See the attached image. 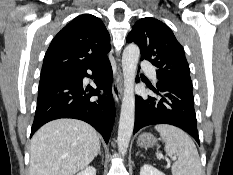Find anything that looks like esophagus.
Instances as JSON below:
<instances>
[{
    "label": "esophagus",
    "mask_w": 233,
    "mask_h": 175,
    "mask_svg": "<svg viewBox=\"0 0 233 175\" xmlns=\"http://www.w3.org/2000/svg\"><path fill=\"white\" fill-rule=\"evenodd\" d=\"M112 93H113V97L115 101L119 102L122 98V93H123V83H122V76L120 72L115 76L113 80Z\"/></svg>",
    "instance_id": "esophagus-1"
}]
</instances>
